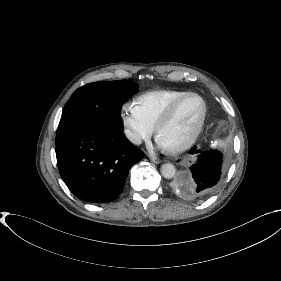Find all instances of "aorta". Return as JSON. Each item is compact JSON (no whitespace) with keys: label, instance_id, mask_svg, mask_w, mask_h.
Masks as SVG:
<instances>
[{"label":"aorta","instance_id":"obj_1","mask_svg":"<svg viewBox=\"0 0 281 281\" xmlns=\"http://www.w3.org/2000/svg\"><path fill=\"white\" fill-rule=\"evenodd\" d=\"M176 168L171 163H166L161 166V174L164 178L171 179L175 176Z\"/></svg>","mask_w":281,"mask_h":281}]
</instances>
